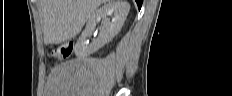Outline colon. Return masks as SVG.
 I'll return each instance as SVG.
<instances>
[{
    "label": "colon",
    "mask_w": 232,
    "mask_h": 96,
    "mask_svg": "<svg viewBox=\"0 0 232 96\" xmlns=\"http://www.w3.org/2000/svg\"><path fill=\"white\" fill-rule=\"evenodd\" d=\"M74 42L69 41L59 46L53 51V55L59 59L68 58L74 50Z\"/></svg>",
    "instance_id": "obj_1"
}]
</instances>
